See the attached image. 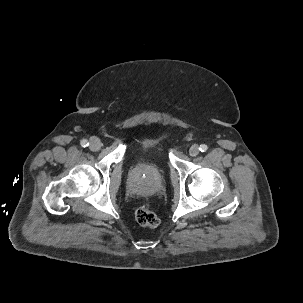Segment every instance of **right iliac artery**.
<instances>
[{
    "mask_svg": "<svg viewBox=\"0 0 303 303\" xmlns=\"http://www.w3.org/2000/svg\"><path fill=\"white\" fill-rule=\"evenodd\" d=\"M81 145H82V147H87L89 145V142L86 139H83L81 141Z\"/></svg>",
    "mask_w": 303,
    "mask_h": 303,
    "instance_id": "right-iliac-artery-1",
    "label": "right iliac artery"
}]
</instances>
